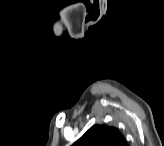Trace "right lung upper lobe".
<instances>
[{
  "instance_id": "1",
  "label": "right lung upper lobe",
  "mask_w": 164,
  "mask_h": 146,
  "mask_svg": "<svg viewBox=\"0 0 164 146\" xmlns=\"http://www.w3.org/2000/svg\"><path fill=\"white\" fill-rule=\"evenodd\" d=\"M74 146H127V142L115 127L94 125Z\"/></svg>"
}]
</instances>
